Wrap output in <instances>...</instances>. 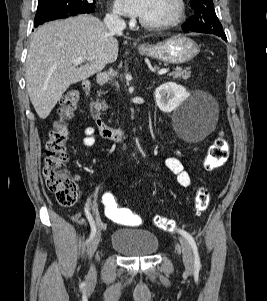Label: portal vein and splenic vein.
Here are the masks:
<instances>
[{
	"mask_svg": "<svg viewBox=\"0 0 267 301\" xmlns=\"http://www.w3.org/2000/svg\"><path fill=\"white\" fill-rule=\"evenodd\" d=\"M83 61H84V59L82 57H77L73 60V64L78 65V64H81ZM168 71H169V69H167V68H161L157 71V74L163 75V74H166Z\"/></svg>",
	"mask_w": 267,
	"mask_h": 301,
	"instance_id": "18ae733b",
	"label": "portal vein and splenic vein"
}]
</instances>
